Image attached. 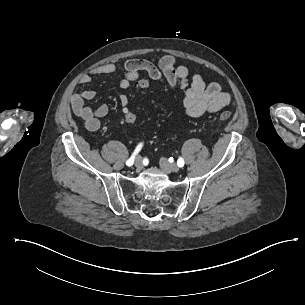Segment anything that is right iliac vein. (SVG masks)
Returning a JSON list of instances; mask_svg holds the SVG:
<instances>
[{
    "label": "right iliac vein",
    "mask_w": 305,
    "mask_h": 305,
    "mask_svg": "<svg viewBox=\"0 0 305 305\" xmlns=\"http://www.w3.org/2000/svg\"><path fill=\"white\" fill-rule=\"evenodd\" d=\"M135 166H136V168H137L138 170L142 168L143 164H142V160H141L140 157H137V158L135 159Z\"/></svg>",
    "instance_id": "1"
}]
</instances>
